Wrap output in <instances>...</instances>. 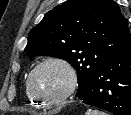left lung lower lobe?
Returning <instances> with one entry per match:
<instances>
[{
  "label": "left lung lower lobe",
  "instance_id": "0a47b994",
  "mask_svg": "<svg viewBox=\"0 0 131 115\" xmlns=\"http://www.w3.org/2000/svg\"><path fill=\"white\" fill-rule=\"evenodd\" d=\"M76 97L113 115H131V36Z\"/></svg>",
  "mask_w": 131,
  "mask_h": 115
}]
</instances>
